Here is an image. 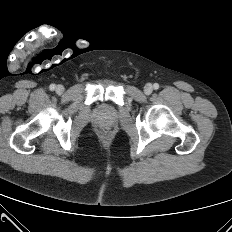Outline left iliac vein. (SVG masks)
Masks as SVG:
<instances>
[{"label":"left iliac vein","instance_id":"1","mask_svg":"<svg viewBox=\"0 0 232 232\" xmlns=\"http://www.w3.org/2000/svg\"><path fill=\"white\" fill-rule=\"evenodd\" d=\"M152 91H153V86L150 83H148L144 86V93L146 95H150L152 93Z\"/></svg>","mask_w":232,"mask_h":232}]
</instances>
